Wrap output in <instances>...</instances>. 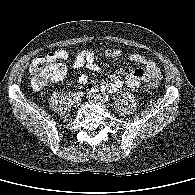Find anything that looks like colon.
Wrapping results in <instances>:
<instances>
[{
	"mask_svg": "<svg viewBox=\"0 0 195 195\" xmlns=\"http://www.w3.org/2000/svg\"><path fill=\"white\" fill-rule=\"evenodd\" d=\"M66 72L64 64L57 58L44 54L36 58L30 66L32 83L35 87H40L50 81L61 80ZM159 80L148 82L150 88H156Z\"/></svg>",
	"mask_w": 195,
	"mask_h": 195,
	"instance_id": "colon-1",
	"label": "colon"
}]
</instances>
